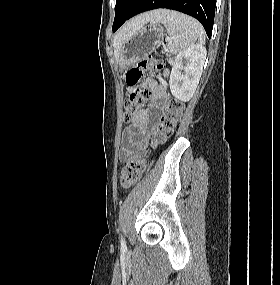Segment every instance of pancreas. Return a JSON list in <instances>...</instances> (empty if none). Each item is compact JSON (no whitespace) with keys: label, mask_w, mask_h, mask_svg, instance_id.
<instances>
[{"label":"pancreas","mask_w":280,"mask_h":285,"mask_svg":"<svg viewBox=\"0 0 280 285\" xmlns=\"http://www.w3.org/2000/svg\"><path fill=\"white\" fill-rule=\"evenodd\" d=\"M168 62H169V63H172V59H171V58H169V59H168Z\"/></svg>","instance_id":"pancreas-1"}]
</instances>
